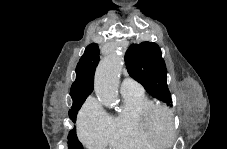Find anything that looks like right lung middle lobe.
<instances>
[{"label": "right lung middle lobe", "mask_w": 227, "mask_h": 149, "mask_svg": "<svg viewBox=\"0 0 227 149\" xmlns=\"http://www.w3.org/2000/svg\"><path fill=\"white\" fill-rule=\"evenodd\" d=\"M82 104L79 107H77L76 109H71L69 111V117H70V119L73 122L76 121V116H77L78 110L81 108ZM68 148L69 149H82V145H81V143L77 139V135H76V130L75 129H73V130H71L69 132V136H68Z\"/></svg>", "instance_id": "obj_1"}]
</instances>
